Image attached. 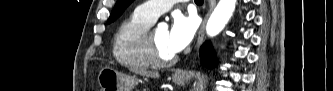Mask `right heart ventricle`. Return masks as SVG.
Here are the masks:
<instances>
[{
    "instance_id": "right-heart-ventricle-1",
    "label": "right heart ventricle",
    "mask_w": 333,
    "mask_h": 91,
    "mask_svg": "<svg viewBox=\"0 0 333 91\" xmlns=\"http://www.w3.org/2000/svg\"><path fill=\"white\" fill-rule=\"evenodd\" d=\"M153 23L154 21L135 10L119 24L113 38L112 53L121 66L133 71L151 68L144 35Z\"/></svg>"
}]
</instances>
